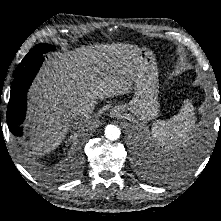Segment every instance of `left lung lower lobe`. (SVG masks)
Here are the masks:
<instances>
[{
	"mask_svg": "<svg viewBox=\"0 0 221 221\" xmlns=\"http://www.w3.org/2000/svg\"><path fill=\"white\" fill-rule=\"evenodd\" d=\"M188 149L184 148L180 151V153L177 156V159L174 161L173 165L175 168H179L184 164V162L187 160L188 157ZM156 171H158V168H155Z\"/></svg>",
	"mask_w": 221,
	"mask_h": 221,
	"instance_id": "obj_1",
	"label": "left lung lower lobe"
}]
</instances>
